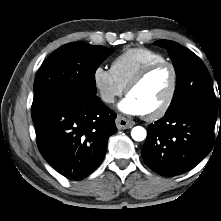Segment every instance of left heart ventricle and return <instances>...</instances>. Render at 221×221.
Wrapping results in <instances>:
<instances>
[{"label":"left heart ventricle","instance_id":"obj_1","mask_svg":"<svg viewBox=\"0 0 221 221\" xmlns=\"http://www.w3.org/2000/svg\"><path fill=\"white\" fill-rule=\"evenodd\" d=\"M171 79V70L166 66L160 67L132 89L129 95L139 102L144 113L151 112L158 108L166 98Z\"/></svg>","mask_w":221,"mask_h":221}]
</instances>
